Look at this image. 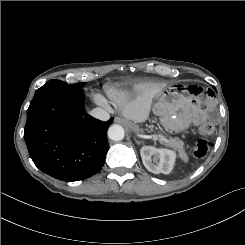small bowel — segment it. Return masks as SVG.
<instances>
[{
  "label": "small bowel",
  "instance_id": "obj_1",
  "mask_svg": "<svg viewBox=\"0 0 245 245\" xmlns=\"http://www.w3.org/2000/svg\"><path fill=\"white\" fill-rule=\"evenodd\" d=\"M188 93L192 99L204 102L207 106H215L218 103V95L213 89L198 86L195 84L188 86ZM206 118V113L197 110L195 115V122L201 123Z\"/></svg>",
  "mask_w": 245,
  "mask_h": 245
}]
</instances>
